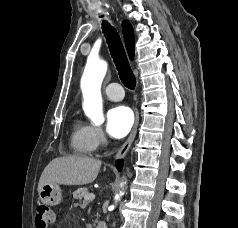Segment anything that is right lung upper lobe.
Returning a JSON list of instances; mask_svg holds the SVG:
<instances>
[{"label": "right lung upper lobe", "mask_w": 238, "mask_h": 228, "mask_svg": "<svg viewBox=\"0 0 238 228\" xmlns=\"http://www.w3.org/2000/svg\"><path fill=\"white\" fill-rule=\"evenodd\" d=\"M122 31L125 39L126 48L131 59L134 56V33L131 24L125 20L122 23Z\"/></svg>", "instance_id": "1"}]
</instances>
